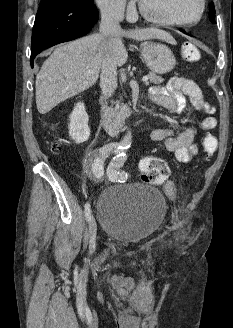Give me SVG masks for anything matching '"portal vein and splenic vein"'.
Masks as SVG:
<instances>
[{"mask_svg":"<svg viewBox=\"0 0 233 328\" xmlns=\"http://www.w3.org/2000/svg\"><path fill=\"white\" fill-rule=\"evenodd\" d=\"M148 79H149V78H148L147 76H144V77L142 78V81L145 82V83H148Z\"/></svg>","mask_w":233,"mask_h":328,"instance_id":"portal-vein-and-splenic-vein-1","label":"portal vein and splenic vein"}]
</instances>
